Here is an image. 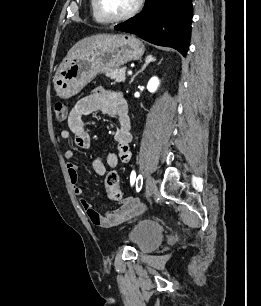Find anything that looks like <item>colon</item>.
Returning a JSON list of instances; mask_svg holds the SVG:
<instances>
[{"instance_id": "obj_1", "label": "colon", "mask_w": 261, "mask_h": 306, "mask_svg": "<svg viewBox=\"0 0 261 306\" xmlns=\"http://www.w3.org/2000/svg\"><path fill=\"white\" fill-rule=\"evenodd\" d=\"M54 114L57 122H63L67 115L66 106L60 102L54 105ZM106 191L110 199L122 200V193L119 185V176L115 171H110L105 178Z\"/></svg>"}]
</instances>
